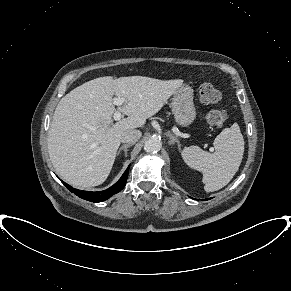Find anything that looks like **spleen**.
Here are the masks:
<instances>
[{"instance_id":"3e777b00","label":"spleen","mask_w":291,"mask_h":291,"mask_svg":"<svg viewBox=\"0 0 291 291\" xmlns=\"http://www.w3.org/2000/svg\"><path fill=\"white\" fill-rule=\"evenodd\" d=\"M214 153L203 151L198 146L185 147L182 158L185 163L203 173L204 190L217 191L234 177L242 162L244 139L239 125L225 128L214 140Z\"/></svg>"}]
</instances>
